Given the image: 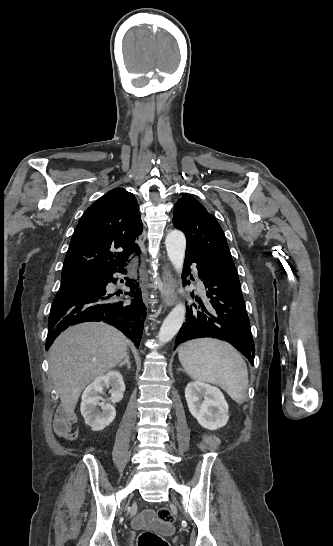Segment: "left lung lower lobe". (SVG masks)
<instances>
[{"mask_svg": "<svg viewBox=\"0 0 333 546\" xmlns=\"http://www.w3.org/2000/svg\"><path fill=\"white\" fill-rule=\"evenodd\" d=\"M196 264L208 299L198 300L187 309L186 320L176 337V345L200 337L219 338L238 349L254 364V341L237 270H218L186 250L184 265ZM174 348V349H175Z\"/></svg>", "mask_w": 333, "mask_h": 546, "instance_id": "1", "label": "left lung lower lobe"}]
</instances>
